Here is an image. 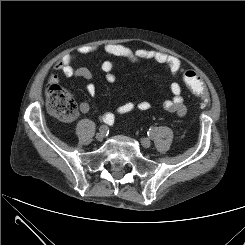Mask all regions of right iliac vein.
<instances>
[{
  "mask_svg": "<svg viewBox=\"0 0 245 245\" xmlns=\"http://www.w3.org/2000/svg\"><path fill=\"white\" fill-rule=\"evenodd\" d=\"M104 137H105V134L101 131L96 134V139L100 142L103 141Z\"/></svg>",
  "mask_w": 245,
  "mask_h": 245,
  "instance_id": "63e3f726",
  "label": "right iliac vein"
}]
</instances>
